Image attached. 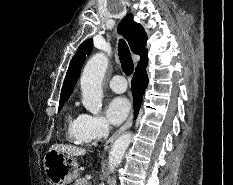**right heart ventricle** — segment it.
Masks as SVG:
<instances>
[{"label": "right heart ventricle", "instance_id": "e07e8e85", "mask_svg": "<svg viewBox=\"0 0 233 185\" xmlns=\"http://www.w3.org/2000/svg\"><path fill=\"white\" fill-rule=\"evenodd\" d=\"M81 118L82 115L73 112H70L66 117L67 133L70 139L78 144L85 142L81 136Z\"/></svg>", "mask_w": 233, "mask_h": 185}]
</instances>
